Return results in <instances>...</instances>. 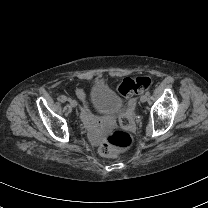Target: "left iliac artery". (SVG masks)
<instances>
[{
    "label": "left iliac artery",
    "instance_id": "44dca946",
    "mask_svg": "<svg viewBox=\"0 0 208 208\" xmlns=\"http://www.w3.org/2000/svg\"><path fill=\"white\" fill-rule=\"evenodd\" d=\"M145 94H146L147 96H149V95H150V92H149V91H147Z\"/></svg>",
    "mask_w": 208,
    "mask_h": 208
}]
</instances>
